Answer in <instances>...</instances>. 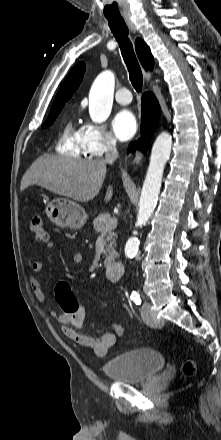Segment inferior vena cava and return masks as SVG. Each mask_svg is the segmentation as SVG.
<instances>
[{
  "mask_svg": "<svg viewBox=\"0 0 221 440\" xmlns=\"http://www.w3.org/2000/svg\"><path fill=\"white\" fill-rule=\"evenodd\" d=\"M119 154L116 149V144L113 141L108 142L107 144V150L105 154V161L107 163H113L117 158Z\"/></svg>",
  "mask_w": 221,
  "mask_h": 440,
  "instance_id": "inferior-vena-cava-1",
  "label": "inferior vena cava"
}]
</instances>
